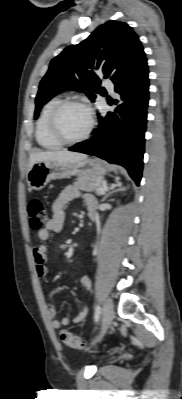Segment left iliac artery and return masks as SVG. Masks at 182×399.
<instances>
[{
	"label": "left iliac artery",
	"mask_w": 182,
	"mask_h": 399,
	"mask_svg": "<svg viewBox=\"0 0 182 399\" xmlns=\"http://www.w3.org/2000/svg\"><path fill=\"white\" fill-rule=\"evenodd\" d=\"M100 314H101V307L99 305H97L95 307V311H94V320H95V322H97L99 320Z\"/></svg>",
	"instance_id": "44dca946"
}]
</instances>
